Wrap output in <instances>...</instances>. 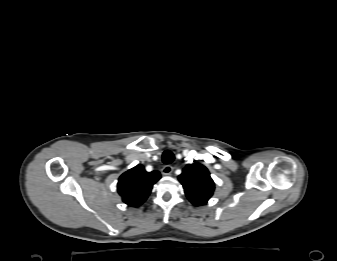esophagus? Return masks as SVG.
Listing matches in <instances>:
<instances>
[{
    "label": "esophagus",
    "mask_w": 337,
    "mask_h": 261,
    "mask_svg": "<svg viewBox=\"0 0 337 261\" xmlns=\"http://www.w3.org/2000/svg\"><path fill=\"white\" fill-rule=\"evenodd\" d=\"M163 175H170L173 172V167L171 165H165L161 170Z\"/></svg>",
    "instance_id": "1"
}]
</instances>
